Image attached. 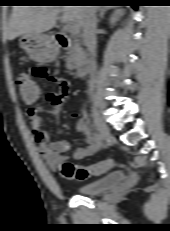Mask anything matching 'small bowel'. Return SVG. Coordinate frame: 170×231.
I'll return each mask as SVG.
<instances>
[{"label":"small bowel","instance_id":"small-bowel-1","mask_svg":"<svg viewBox=\"0 0 170 231\" xmlns=\"http://www.w3.org/2000/svg\"><path fill=\"white\" fill-rule=\"evenodd\" d=\"M31 76L35 80L52 81L58 83L60 86L58 92H52L48 95V101L52 105L51 108H32L28 111V121L35 141L38 144L39 153L47 166L54 170L68 159L66 153L69 150V144L63 140L50 141L48 133L41 128L42 117L40 112L46 111L54 115L58 120L65 102L67 86L62 79L52 76L43 65L33 66L31 69ZM74 116L77 117V115ZM76 129L85 138L86 146L75 149L72 157L75 160H81L96 153L100 149L101 144L93 137L83 118L77 119Z\"/></svg>","mask_w":170,"mask_h":231}]
</instances>
